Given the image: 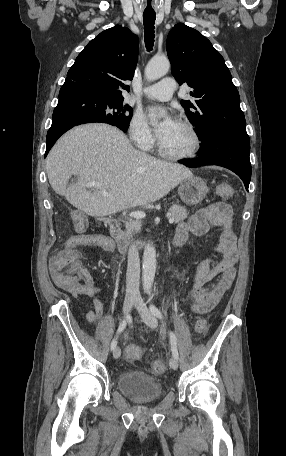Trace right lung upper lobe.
Segmentation results:
<instances>
[{"instance_id":"1","label":"right lung upper lobe","mask_w":286,"mask_h":456,"mask_svg":"<svg viewBox=\"0 0 286 456\" xmlns=\"http://www.w3.org/2000/svg\"><path fill=\"white\" fill-rule=\"evenodd\" d=\"M138 37L114 26L91 40L78 55L62 86L80 88L98 98L123 101L124 81L132 80L138 59Z\"/></svg>"}]
</instances>
